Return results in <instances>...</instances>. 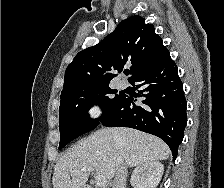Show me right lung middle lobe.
Segmentation results:
<instances>
[{"instance_id":"right-lung-middle-lobe-1","label":"right lung middle lobe","mask_w":224,"mask_h":188,"mask_svg":"<svg viewBox=\"0 0 224 188\" xmlns=\"http://www.w3.org/2000/svg\"><path fill=\"white\" fill-rule=\"evenodd\" d=\"M124 96L123 93L112 90L109 84L61 93L59 149L80 135L95 129L99 122H102L121 103ZM95 104L101 106L103 114L99 119L93 120L88 117L87 111Z\"/></svg>"}]
</instances>
